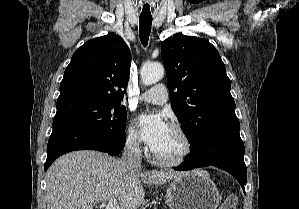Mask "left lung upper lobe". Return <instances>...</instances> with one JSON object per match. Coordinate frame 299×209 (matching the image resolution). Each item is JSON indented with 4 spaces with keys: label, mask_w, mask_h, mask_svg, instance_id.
I'll use <instances>...</instances> for the list:
<instances>
[{
    "label": "left lung upper lobe",
    "mask_w": 299,
    "mask_h": 209,
    "mask_svg": "<svg viewBox=\"0 0 299 209\" xmlns=\"http://www.w3.org/2000/svg\"><path fill=\"white\" fill-rule=\"evenodd\" d=\"M161 52L172 108L192 147L211 127L237 118L230 79L210 42L178 34L163 42Z\"/></svg>",
    "instance_id": "left-lung-upper-lobe-1"
}]
</instances>
